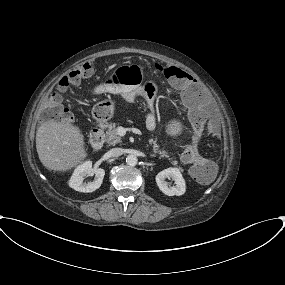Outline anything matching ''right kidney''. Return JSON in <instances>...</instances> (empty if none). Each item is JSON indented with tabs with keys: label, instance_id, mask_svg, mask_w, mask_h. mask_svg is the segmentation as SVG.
I'll return each instance as SVG.
<instances>
[{
	"label": "right kidney",
	"instance_id": "obj_1",
	"mask_svg": "<svg viewBox=\"0 0 285 285\" xmlns=\"http://www.w3.org/2000/svg\"><path fill=\"white\" fill-rule=\"evenodd\" d=\"M95 175V178L90 183H83L85 176ZM105 175V171L102 168H92V162L86 161L79 165L73 172L70 180L69 186L76 191L90 193L97 190L102 182Z\"/></svg>",
	"mask_w": 285,
	"mask_h": 285
}]
</instances>
